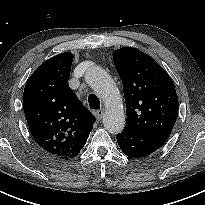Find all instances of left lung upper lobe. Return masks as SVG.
<instances>
[{
	"instance_id": "obj_1",
	"label": "left lung upper lobe",
	"mask_w": 205,
	"mask_h": 205,
	"mask_svg": "<svg viewBox=\"0 0 205 205\" xmlns=\"http://www.w3.org/2000/svg\"><path fill=\"white\" fill-rule=\"evenodd\" d=\"M123 83L125 128L166 141L178 115V98L167 72L149 55L132 47L113 54Z\"/></svg>"
}]
</instances>
